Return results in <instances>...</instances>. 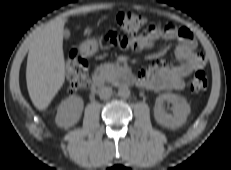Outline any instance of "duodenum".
<instances>
[{"label":"duodenum","mask_w":231,"mask_h":170,"mask_svg":"<svg viewBox=\"0 0 231 170\" xmlns=\"http://www.w3.org/2000/svg\"><path fill=\"white\" fill-rule=\"evenodd\" d=\"M113 83L120 85L137 83V77L127 68L121 66L118 70V74L112 80ZM105 79L102 75L97 74L91 81L90 94L93 96L97 94L103 87Z\"/></svg>","instance_id":"duodenum-1"}]
</instances>
